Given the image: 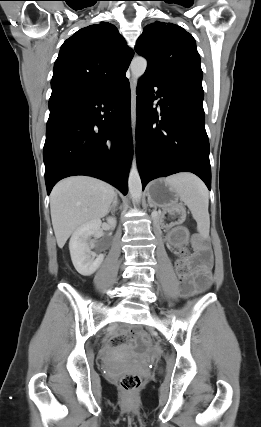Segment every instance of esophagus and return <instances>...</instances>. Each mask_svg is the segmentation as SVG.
I'll list each match as a JSON object with an SVG mask.
<instances>
[{"label": "esophagus", "instance_id": "1", "mask_svg": "<svg viewBox=\"0 0 261 427\" xmlns=\"http://www.w3.org/2000/svg\"><path fill=\"white\" fill-rule=\"evenodd\" d=\"M131 89H132V94H133V102H132V122H133V128H134V121H135V107H134V89H135V84L133 81H131Z\"/></svg>", "mask_w": 261, "mask_h": 427}]
</instances>
